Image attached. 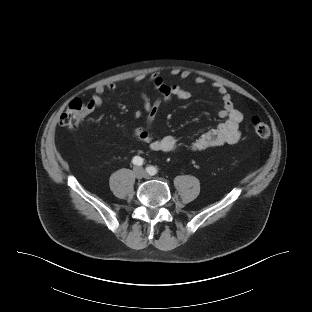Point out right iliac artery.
<instances>
[{"label": "right iliac artery", "instance_id": "obj_1", "mask_svg": "<svg viewBox=\"0 0 312 312\" xmlns=\"http://www.w3.org/2000/svg\"><path fill=\"white\" fill-rule=\"evenodd\" d=\"M132 162L134 165H137V166H141L144 164V159L139 157V156H135L133 159H132Z\"/></svg>", "mask_w": 312, "mask_h": 312}]
</instances>
